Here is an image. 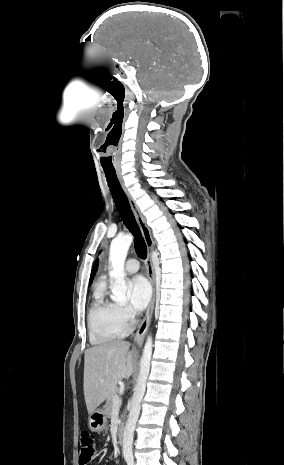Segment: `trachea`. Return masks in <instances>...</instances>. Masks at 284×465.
Listing matches in <instances>:
<instances>
[{
  "mask_svg": "<svg viewBox=\"0 0 284 465\" xmlns=\"http://www.w3.org/2000/svg\"><path fill=\"white\" fill-rule=\"evenodd\" d=\"M104 173L121 220L134 236V247L136 253L140 258L145 259L147 257L146 243L141 235L128 198L117 179L116 172L114 169H104Z\"/></svg>",
  "mask_w": 284,
  "mask_h": 465,
  "instance_id": "1",
  "label": "trachea"
}]
</instances>
